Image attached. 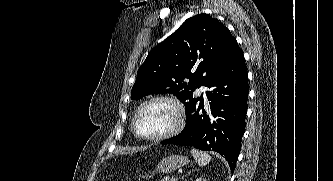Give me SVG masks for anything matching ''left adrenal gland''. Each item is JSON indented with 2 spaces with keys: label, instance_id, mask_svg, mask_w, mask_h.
Instances as JSON below:
<instances>
[{
  "label": "left adrenal gland",
  "instance_id": "obj_1",
  "mask_svg": "<svg viewBox=\"0 0 333 181\" xmlns=\"http://www.w3.org/2000/svg\"><path fill=\"white\" fill-rule=\"evenodd\" d=\"M193 171H194V170H190L187 174H190V173L193 172ZM187 174H186V175H187Z\"/></svg>",
  "mask_w": 333,
  "mask_h": 181
}]
</instances>
